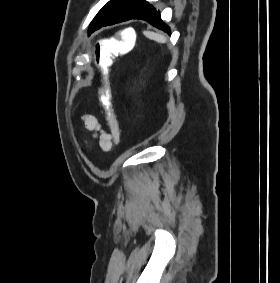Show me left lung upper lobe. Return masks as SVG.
Instances as JSON below:
<instances>
[{"label":"left lung upper lobe","instance_id":"1","mask_svg":"<svg viewBox=\"0 0 280 283\" xmlns=\"http://www.w3.org/2000/svg\"><path fill=\"white\" fill-rule=\"evenodd\" d=\"M145 3V0H110L94 17L89 33L94 32L105 21L134 15Z\"/></svg>","mask_w":280,"mask_h":283}]
</instances>
